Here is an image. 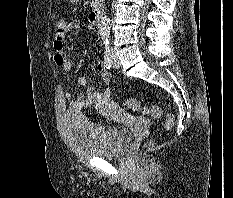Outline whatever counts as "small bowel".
<instances>
[{
    "label": "small bowel",
    "mask_w": 233,
    "mask_h": 198,
    "mask_svg": "<svg viewBox=\"0 0 233 198\" xmlns=\"http://www.w3.org/2000/svg\"><path fill=\"white\" fill-rule=\"evenodd\" d=\"M76 29H79L78 23L64 21L63 32L60 34L55 33L53 39L54 63L68 73L73 69V61L65 53L64 42L66 34L69 31ZM96 68L101 76L102 83L107 86L110 83L111 77L109 72L106 70L105 65L98 62ZM78 83L86 88L84 93L78 94L76 98L73 97L71 92L65 93V99L68 101L69 109L71 111H79L92 105H97L104 112H111L112 110L116 109V105L111 99V91L108 87H105L103 90L99 91L89 84L86 77H80L78 79Z\"/></svg>",
    "instance_id": "obj_1"
}]
</instances>
